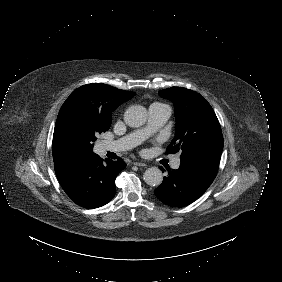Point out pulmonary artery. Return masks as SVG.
<instances>
[{
  "label": "pulmonary artery",
  "instance_id": "obj_1",
  "mask_svg": "<svg viewBox=\"0 0 282 282\" xmlns=\"http://www.w3.org/2000/svg\"><path fill=\"white\" fill-rule=\"evenodd\" d=\"M171 108L169 105L163 103H153L148 109V124L141 129L135 130L123 138L116 141L106 142L104 148L106 151H125L129 150L136 145L140 144L145 138L153 134L158 128H160L170 117ZM180 165V159L174 160L173 168H178Z\"/></svg>",
  "mask_w": 282,
  "mask_h": 282
}]
</instances>
